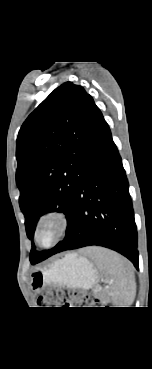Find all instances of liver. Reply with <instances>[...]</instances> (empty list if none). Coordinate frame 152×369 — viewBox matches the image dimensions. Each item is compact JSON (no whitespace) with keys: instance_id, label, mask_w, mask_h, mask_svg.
<instances>
[{"instance_id":"liver-1","label":"liver","mask_w":152,"mask_h":369,"mask_svg":"<svg viewBox=\"0 0 152 369\" xmlns=\"http://www.w3.org/2000/svg\"><path fill=\"white\" fill-rule=\"evenodd\" d=\"M95 251V248L88 249L89 253H93Z\"/></svg>"}]
</instances>
